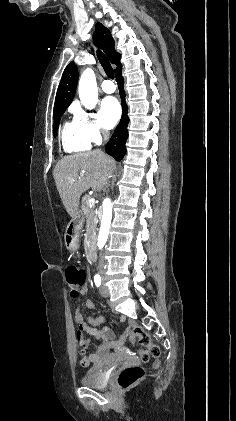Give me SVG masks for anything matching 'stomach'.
Listing matches in <instances>:
<instances>
[{"label":"stomach","instance_id":"obj_1","mask_svg":"<svg viewBox=\"0 0 236 421\" xmlns=\"http://www.w3.org/2000/svg\"><path fill=\"white\" fill-rule=\"evenodd\" d=\"M83 215L78 211L76 217L70 221L65 233V245L68 251H77L79 249V237L83 229Z\"/></svg>","mask_w":236,"mask_h":421}]
</instances>
